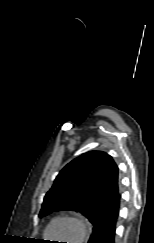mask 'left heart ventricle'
<instances>
[{"instance_id": "1", "label": "left heart ventricle", "mask_w": 154, "mask_h": 243, "mask_svg": "<svg viewBox=\"0 0 154 243\" xmlns=\"http://www.w3.org/2000/svg\"><path fill=\"white\" fill-rule=\"evenodd\" d=\"M49 236L58 239L68 238L69 241H74L76 238V229L70 222L59 221L52 226Z\"/></svg>"}]
</instances>
